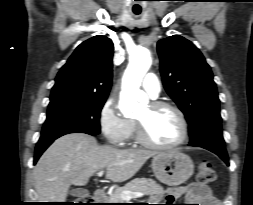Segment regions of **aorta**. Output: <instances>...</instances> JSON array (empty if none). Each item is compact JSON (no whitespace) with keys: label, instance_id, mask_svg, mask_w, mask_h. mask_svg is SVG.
Returning a JSON list of instances; mask_svg holds the SVG:
<instances>
[{"label":"aorta","instance_id":"aorta-1","mask_svg":"<svg viewBox=\"0 0 253 205\" xmlns=\"http://www.w3.org/2000/svg\"><path fill=\"white\" fill-rule=\"evenodd\" d=\"M151 53L145 47H137L130 54V61L122 80L120 109L125 117L136 114L148 103L145 92L139 89L145 73L151 66Z\"/></svg>","mask_w":253,"mask_h":205}]
</instances>
